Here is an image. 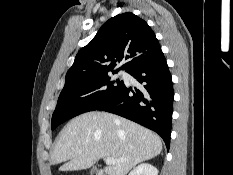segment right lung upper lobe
<instances>
[{
  "label": "right lung upper lobe",
  "instance_id": "obj_1",
  "mask_svg": "<svg viewBox=\"0 0 233 175\" xmlns=\"http://www.w3.org/2000/svg\"><path fill=\"white\" fill-rule=\"evenodd\" d=\"M162 52L148 24L133 13L116 15L105 22L91 42L75 57L66 82L113 71L117 62L128 60L116 71L129 72Z\"/></svg>",
  "mask_w": 233,
  "mask_h": 175
}]
</instances>
